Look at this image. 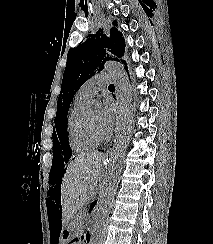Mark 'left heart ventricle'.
I'll return each mask as SVG.
<instances>
[{
	"instance_id": "b2bd125f",
	"label": "left heart ventricle",
	"mask_w": 213,
	"mask_h": 244,
	"mask_svg": "<svg viewBox=\"0 0 213 244\" xmlns=\"http://www.w3.org/2000/svg\"><path fill=\"white\" fill-rule=\"evenodd\" d=\"M89 119L91 120L92 124L94 127L102 134H105V130L103 129L101 125V118H102V113L101 111H94L91 114H89Z\"/></svg>"
}]
</instances>
